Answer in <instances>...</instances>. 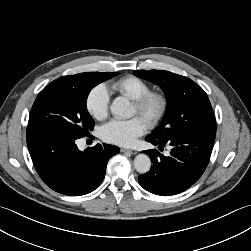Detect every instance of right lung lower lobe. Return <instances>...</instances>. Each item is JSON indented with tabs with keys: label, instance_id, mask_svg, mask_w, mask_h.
<instances>
[{
	"label": "right lung lower lobe",
	"instance_id": "right-lung-lower-lobe-1",
	"mask_svg": "<svg viewBox=\"0 0 251 251\" xmlns=\"http://www.w3.org/2000/svg\"><path fill=\"white\" fill-rule=\"evenodd\" d=\"M77 138L27 127V146L40 178L51 189L69 196L95 190L105 176L108 160L119 148L97 144L80 151Z\"/></svg>",
	"mask_w": 251,
	"mask_h": 251
}]
</instances>
